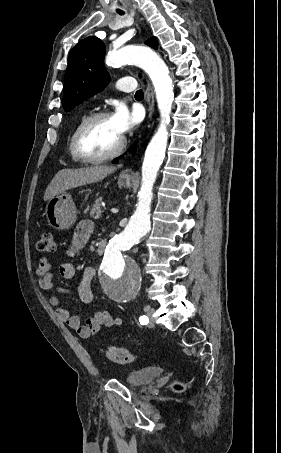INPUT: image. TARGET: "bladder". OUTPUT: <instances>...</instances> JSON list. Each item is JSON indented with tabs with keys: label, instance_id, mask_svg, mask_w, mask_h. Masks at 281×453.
<instances>
[{
	"label": "bladder",
	"instance_id": "31cf9c89",
	"mask_svg": "<svg viewBox=\"0 0 281 453\" xmlns=\"http://www.w3.org/2000/svg\"><path fill=\"white\" fill-rule=\"evenodd\" d=\"M162 373V369L157 367H148L134 370L126 377V382L134 387L146 385L152 382Z\"/></svg>",
	"mask_w": 281,
	"mask_h": 453
}]
</instances>
